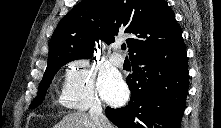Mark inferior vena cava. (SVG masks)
<instances>
[{
	"label": "inferior vena cava",
	"mask_w": 221,
	"mask_h": 128,
	"mask_svg": "<svg viewBox=\"0 0 221 128\" xmlns=\"http://www.w3.org/2000/svg\"><path fill=\"white\" fill-rule=\"evenodd\" d=\"M89 115L94 120L97 128H111V124L102 112V106L99 101L91 103Z\"/></svg>",
	"instance_id": "inferior-vena-cava-1"
}]
</instances>
